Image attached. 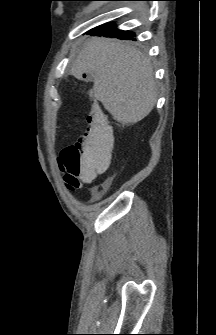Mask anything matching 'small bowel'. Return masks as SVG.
<instances>
[{"instance_id":"small-bowel-1","label":"small bowel","mask_w":216,"mask_h":335,"mask_svg":"<svg viewBox=\"0 0 216 335\" xmlns=\"http://www.w3.org/2000/svg\"><path fill=\"white\" fill-rule=\"evenodd\" d=\"M80 179H81V184L77 185L75 188H81L84 184L91 182L94 178H80Z\"/></svg>"}]
</instances>
